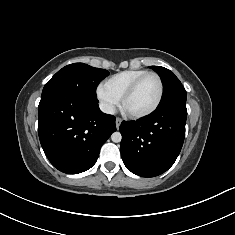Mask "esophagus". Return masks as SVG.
<instances>
[{
  "label": "esophagus",
  "instance_id": "34e87169",
  "mask_svg": "<svg viewBox=\"0 0 235 235\" xmlns=\"http://www.w3.org/2000/svg\"><path fill=\"white\" fill-rule=\"evenodd\" d=\"M116 127H117V129L120 127V125H121V123H122V119L121 118H116Z\"/></svg>",
  "mask_w": 235,
  "mask_h": 235
}]
</instances>
